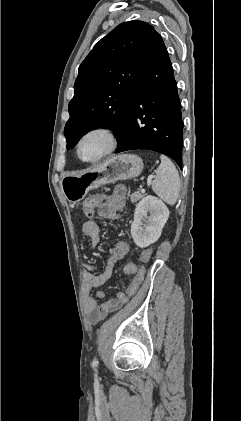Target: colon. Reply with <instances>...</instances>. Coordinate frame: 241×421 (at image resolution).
<instances>
[{
  "label": "colon",
  "instance_id": "5ec220e1",
  "mask_svg": "<svg viewBox=\"0 0 241 421\" xmlns=\"http://www.w3.org/2000/svg\"><path fill=\"white\" fill-rule=\"evenodd\" d=\"M102 201H103V196L101 195H93L87 198L83 204L84 214L89 219H93L95 210L102 203ZM152 251H153L152 248H147L142 251L140 255L141 265L139 266H137L133 262H127L123 265L122 271L125 275H134L132 284L129 286V288L125 292H123L127 298L133 295L135 291L138 289L139 285L142 283L145 277L144 264H146L150 260L152 256Z\"/></svg>",
  "mask_w": 241,
  "mask_h": 421
}]
</instances>
